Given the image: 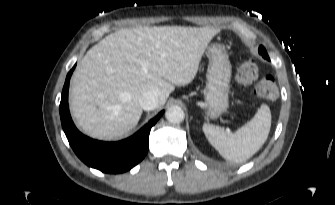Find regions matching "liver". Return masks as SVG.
<instances>
[{
    "label": "liver",
    "instance_id": "6515ba94",
    "mask_svg": "<svg viewBox=\"0 0 335 205\" xmlns=\"http://www.w3.org/2000/svg\"><path fill=\"white\" fill-rule=\"evenodd\" d=\"M218 32L208 27L140 26L106 36L89 49L71 80L70 107L78 126L102 140L127 134L142 115L139 97L154 89L157 108L162 107L175 86L195 78Z\"/></svg>",
    "mask_w": 335,
    "mask_h": 205
}]
</instances>
